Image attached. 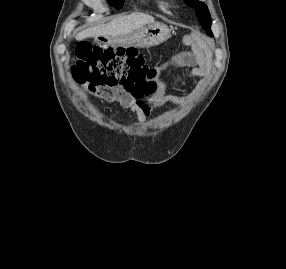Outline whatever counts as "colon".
<instances>
[{
  "label": "colon",
  "instance_id": "obj_1",
  "mask_svg": "<svg viewBox=\"0 0 286 269\" xmlns=\"http://www.w3.org/2000/svg\"><path fill=\"white\" fill-rule=\"evenodd\" d=\"M72 70L77 81L98 86L103 94L122 87L137 96L157 87L152 81L157 71L148 66L134 48L103 47L88 41L81 42L76 48Z\"/></svg>",
  "mask_w": 286,
  "mask_h": 269
}]
</instances>
